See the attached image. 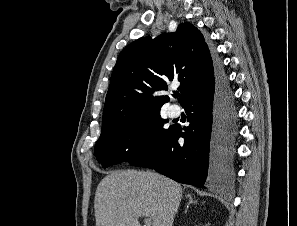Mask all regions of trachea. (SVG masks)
Returning a JSON list of instances; mask_svg holds the SVG:
<instances>
[{
  "label": "trachea",
  "mask_w": 297,
  "mask_h": 226,
  "mask_svg": "<svg viewBox=\"0 0 297 226\" xmlns=\"http://www.w3.org/2000/svg\"><path fill=\"white\" fill-rule=\"evenodd\" d=\"M173 96L177 98L179 96V92H175Z\"/></svg>",
  "instance_id": "trachea-1"
}]
</instances>
